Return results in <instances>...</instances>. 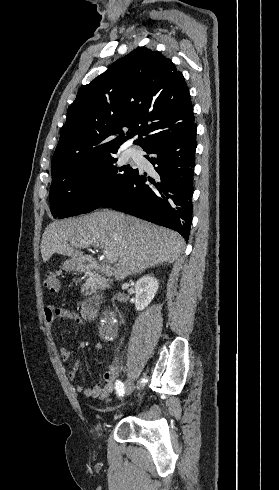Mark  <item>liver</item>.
Returning <instances> with one entry per match:
<instances>
[{
	"mask_svg": "<svg viewBox=\"0 0 279 490\" xmlns=\"http://www.w3.org/2000/svg\"><path fill=\"white\" fill-rule=\"evenodd\" d=\"M86 244L100 248L104 254L112 252L116 256L118 264L114 274L117 280L141 274L163 262L173 264L185 248L178 232L121 212L103 210L49 224L42 236V260L48 262L53 254L70 256L77 260L81 272L86 256L79 248H88Z\"/></svg>",
	"mask_w": 279,
	"mask_h": 490,
	"instance_id": "obj_1",
	"label": "liver"
}]
</instances>
